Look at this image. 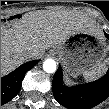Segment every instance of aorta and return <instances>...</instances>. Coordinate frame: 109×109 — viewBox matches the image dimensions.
<instances>
[{
	"label": "aorta",
	"instance_id": "aorta-1",
	"mask_svg": "<svg viewBox=\"0 0 109 109\" xmlns=\"http://www.w3.org/2000/svg\"><path fill=\"white\" fill-rule=\"evenodd\" d=\"M56 62L53 59H47L43 63V69L47 73H54L56 71Z\"/></svg>",
	"mask_w": 109,
	"mask_h": 109
}]
</instances>
